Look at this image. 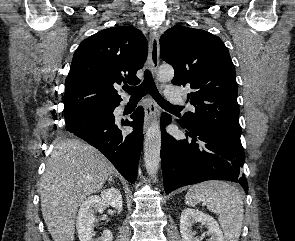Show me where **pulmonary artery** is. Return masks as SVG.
<instances>
[{"label":"pulmonary artery","instance_id":"e3ab8cb5","mask_svg":"<svg viewBox=\"0 0 295 241\" xmlns=\"http://www.w3.org/2000/svg\"><path fill=\"white\" fill-rule=\"evenodd\" d=\"M166 97L168 100L174 102V103H183V95L182 91L180 89H177L175 85H169L166 89Z\"/></svg>","mask_w":295,"mask_h":241}]
</instances>
